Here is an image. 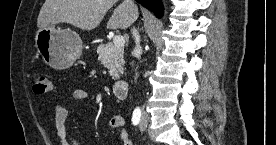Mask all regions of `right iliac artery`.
<instances>
[{"instance_id": "obj_1", "label": "right iliac artery", "mask_w": 276, "mask_h": 145, "mask_svg": "<svg viewBox=\"0 0 276 145\" xmlns=\"http://www.w3.org/2000/svg\"><path fill=\"white\" fill-rule=\"evenodd\" d=\"M141 116H142V111L140 108H136L134 111H133V115H132V123L133 125H138L140 120H141Z\"/></svg>"}]
</instances>
